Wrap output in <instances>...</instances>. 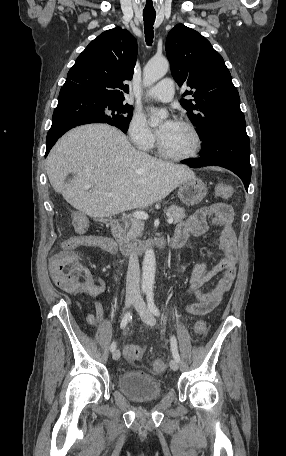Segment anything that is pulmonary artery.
I'll return each mask as SVG.
<instances>
[{
  "label": "pulmonary artery",
  "mask_w": 286,
  "mask_h": 456,
  "mask_svg": "<svg viewBox=\"0 0 286 456\" xmlns=\"http://www.w3.org/2000/svg\"><path fill=\"white\" fill-rule=\"evenodd\" d=\"M175 85L171 78H164L158 84L148 90V94L153 99L161 102H169L173 99Z\"/></svg>",
  "instance_id": "pulmonary-artery-1"
}]
</instances>
